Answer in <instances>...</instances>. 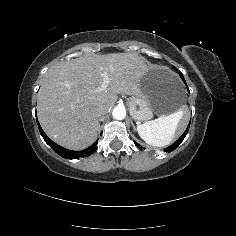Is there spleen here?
Returning a JSON list of instances; mask_svg holds the SVG:
<instances>
[{
    "mask_svg": "<svg viewBox=\"0 0 236 236\" xmlns=\"http://www.w3.org/2000/svg\"><path fill=\"white\" fill-rule=\"evenodd\" d=\"M185 114L186 110L181 109L169 116L159 117L138 125L139 134L149 145L166 147L173 142Z\"/></svg>",
    "mask_w": 236,
    "mask_h": 236,
    "instance_id": "obj_1",
    "label": "spleen"
}]
</instances>
